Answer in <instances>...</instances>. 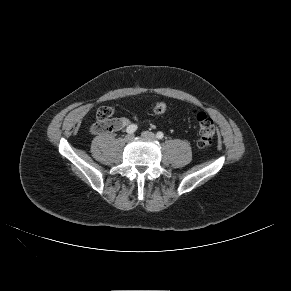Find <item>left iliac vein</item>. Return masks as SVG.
Returning a JSON list of instances; mask_svg holds the SVG:
<instances>
[{"mask_svg":"<svg viewBox=\"0 0 291 291\" xmlns=\"http://www.w3.org/2000/svg\"><path fill=\"white\" fill-rule=\"evenodd\" d=\"M141 136L144 137V138H149V139H155L156 138L155 134L152 133V132H149V131L142 132Z\"/></svg>","mask_w":291,"mask_h":291,"instance_id":"1","label":"left iliac vein"}]
</instances>
